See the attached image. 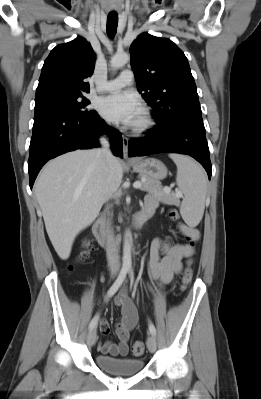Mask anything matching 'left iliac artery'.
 <instances>
[{"mask_svg": "<svg viewBox=\"0 0 261 399\" xmlns=\"http://www.w3.org/2000/svg\"><path fill=\"white\" fill-rule=\"evenodd\" d=\"M129 277H130V279H131V282L133 283V282H134V274H133V272H132L131 269H129ZM149 331H150L151 334H153V335L156 334L155 326H154L151 322L149 323Z\"/></svg>", "mask_w": 261, "mask_h": 399, "instance_id": "1", "label": "left iliac artery"}]
</instances>
